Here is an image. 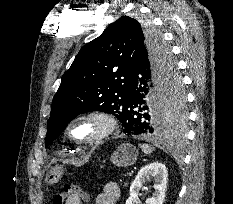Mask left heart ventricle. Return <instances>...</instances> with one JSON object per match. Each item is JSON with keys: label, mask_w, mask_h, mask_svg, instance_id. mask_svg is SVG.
Segmentation results:
<instances>
[{"label": "left heart ventricle", "mask_w": 233, "mask_h": 204, "mask_svg": "<svg viewBox=\"0 0 233 204\" xmlns=\"http://www.w3.org/2000/svg\"><path fill=\"white\" fill-rule=\"evenodd\" d=\"M99 130V125L93 122H82L75 125L72 129V135L76 139H86L94 134H96Z\"/></svg>", "instance_id": "obj_1"}]
</instances>
